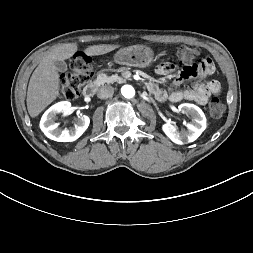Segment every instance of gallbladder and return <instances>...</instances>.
I'll return each mask as SVG.
<instances>
[{"mask_svg": "<svg viewBox=\"0 0 253 253\" xmlns=\"http://www.w3.org/2000/svg\"><path fill=\"white\" fill-rule=\"evenodd\" d=\"M55 66L59 72H65L67 70V64L63 60L55 61Z\"/></svg>", "mask_w": 253, "mask_h": 253, "instance_id": "bac80fb5", "label": "gallbladder"}]
</instances>
